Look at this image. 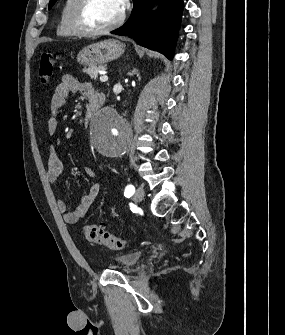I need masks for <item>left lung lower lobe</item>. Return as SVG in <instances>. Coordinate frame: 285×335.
Returning <instances> with one entry per match:
<instances>
[{"label":"left lung lower lobe","mask_w":285,"mask_h":335,"mask_svg":"<svg viewBox=\"0 0 285 335\" xmlns=\"http://www.w3.org/2000/svg\"><path fill=\"white\" fill-rule=\"evenodd\" d=\"M149 0H134L130 18L112 34L129 36L138 44L164 54L172 60L181 22L183 0H160L152 13Z\"/></svg>","instance_id":"left-lung-lower-lobe-1"}]
</instances>
